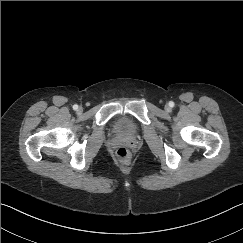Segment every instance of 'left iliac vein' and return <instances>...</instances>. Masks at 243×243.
Wrapping results in <instances>:
<instances>
[{"instance_id": "1", "label": "left iliac vein", "mask_w": 243, "mask_h": 243, "mask_svg": "<svg viewBox=\"0 0 243 243\" xmlns=\"http://www.w3.org/2000/svg\"><path fill=\"white\" fill-rule=\"evenodd\" d=\"M166 111H170V107L168 105L165 106Z\"/></svg>"}]
</instances>
